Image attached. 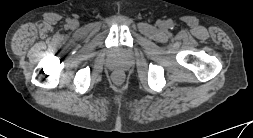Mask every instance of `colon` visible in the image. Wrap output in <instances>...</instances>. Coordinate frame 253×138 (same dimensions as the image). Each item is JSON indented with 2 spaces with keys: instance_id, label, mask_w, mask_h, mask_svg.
Returning a JSON list of instances; mask_svg holds the SVG:
<instances>
[{
  "instance_id": "5ec220e1",
  "label": "colon",
  "mask_w": 253,
  "mask_h": 138,
  "mask_svg": "<svg viewBox=\"0 0 253 138\" xmlns=\"http://www.w3.org/2000/svg\"><path fill=\"white\" fill-rule=\"evenodd\" d=\"M115 80L116 81H120L121 80V75L120 74H116L115 75Z\"/></svg>"
}]
</instances>
